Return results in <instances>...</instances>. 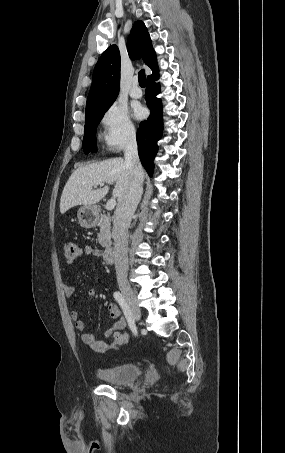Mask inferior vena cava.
<instances>
[{
	"label": "inferior vena cava",
	"instance_id": "1",
	"mask_svg": "<svg viewBox=\"0 0 285 453\" xmlns=\"http://www.w3.org/2000/svg\"><path fill=\"white\" fill-rule=\"evenodd\" d=\"M125 164L131 170L128 192L119 200L113 219L115 269L118 282L127 281L128 272V228L143 193L144 172L138 156L136 134L127 136L124 145Z\"/></svg>",
	"mask_w": 285,
	"mask_h": 453
}]
</instances>
